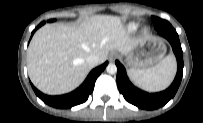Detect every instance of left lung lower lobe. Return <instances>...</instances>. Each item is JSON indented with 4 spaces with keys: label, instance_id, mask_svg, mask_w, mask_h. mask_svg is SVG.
Returning <instances> with one entry per match:
<instances>
[{
    "label": "left lung lower lobe",
    "instance_id": "obj_1",
    "mask_svg": "<svg viewBox=\"0 0 203 123\" xmlns=\"http://www.w3.org/2000/svg\"><path fill=\"white\" fill-rule=\"evenodd\" d=\"M158 34L166 38L177 59V74L169 88L158 93H147L135 87L128 79L125 68L119 61L117 65V85L125 100L141 109L153 110L164 106L176 94L183 75V52L176 30L169 25L156 29Z\"/></svg>",
    "mask_w": 203,
    "mask_h": 123
}]
</instances>
